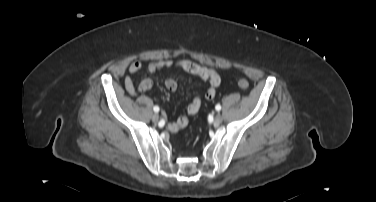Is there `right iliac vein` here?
<instances>
[{"label":"right iliac vein","mask_w":376,"mask_h":202,"mask_svg":"<svg viewBox=\"0 0 376 202\" xmlns=\"http://www.w3.org/2000/svg\"><path fill=\"white\" fill-rule=\"evenodd\" d=\"M158 120H159V115L158 114H153V116H152V121L153 122H158Z\"/></svg>","instance_id":"obj_1"}]
</instances>
